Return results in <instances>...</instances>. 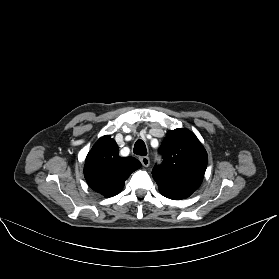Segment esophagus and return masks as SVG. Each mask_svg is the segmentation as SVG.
I'll use <instances>...</instances> for the list:
<instances>
[{
  "label": "esophagus",
  "mask_w": 279,
  "mask_h": 279,
  "mask_svg": "<svg viewBox=\"0 0 279 279\" xmlns=\"http://www.w3.org/2000/svg\"><path fill=\"white\" fill-rule=\"evenodd\" d=\"M140 161L144 167H148L150 164L149 157H147V156L140 157Z\"/></svg>",
  "instance_id": "1"
}]
</instances>
